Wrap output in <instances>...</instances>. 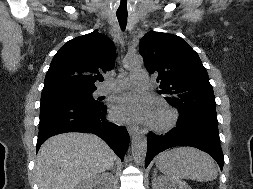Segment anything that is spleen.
<instances>
[{
  "label": "spleen",
  "instance_id": "3e777b00",
  "mask_svg": "<svg viewBox=\"0 0 253 189\" xmlns=\"http://www.w3.org/2000/svg\"><path fill=\"white\" fill-rule=\"evenodd\" d=\"M156 166L174 180L211 181L218 175L211 156L193 147H178L162 152L157 156Z\"/></svg>",
  "mask_w": 253,
  "mask_h": 189
}]
</instances>
